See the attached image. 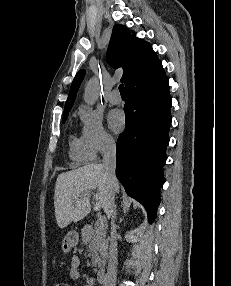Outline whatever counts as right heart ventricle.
Listing matches in <instances>:
<instances>
[{
    "mask_svg": "<svg viewBox=\"0 0 231 286\" xmlns=\"http://www.w3.org/2000/svg\"><path fill=\"white\" fill-rule=\"evenodd\" d=\"M69 156L77 163H87L95 158L82 137L72 135L69 140Z\"/></svg>",
    "mask_w": 231,
    "mask_h": 286,
    "instance_id": "obj_1",
    "label": "right heart ventricle"
}]
</instances>
